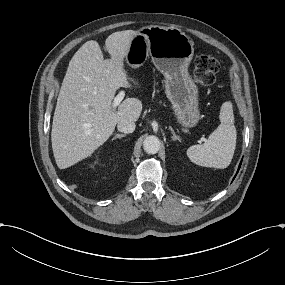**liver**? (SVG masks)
Returning <instances> with one entry per match:
<instances>
[{"instance_id":"6515ba94","label":"liver","mask_w":285,"mask_h":285,"mask_svg":"<svg viewBox=\"0 0 285 285\" xmlns=\"http://www.w3.org/2000/svg\"><path fill=\"white\" fill-rule=\"evenodd\" d=\"M139 31L114 32L105 40L111 59L104 60L99 43L87 41L72 57L57 99L51 142L59 169H67L90 157L113 135L121 120L137 122L143 103L126 98L118 107L114 98L128 82L140 90L142 83L125 66Z\"/></svg>"}]
</instances>
